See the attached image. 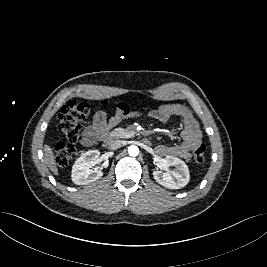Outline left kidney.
I'll return each instance as SVG.
<instances>
[{
    "mask_svg": "<svg viewBox=\"0 0 267 267\" xmlns=\"http://www.w3.org/2000/svg\"><path fill=\"white\" fill-rule=\"evenodd\" d=\"M164 165L165 172L153 171V177L160 185L168 189H180L188 184L190 174L184 161L174 156H167ZM169 167H174V170H170Z\"/></svg>",
    "mask_w": 267,
    "mask_h": 267,
    "instance_id": "1",
    "label": "left kidney"
}]
</instances>
